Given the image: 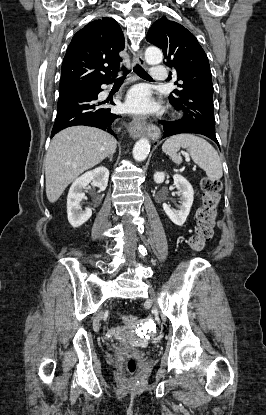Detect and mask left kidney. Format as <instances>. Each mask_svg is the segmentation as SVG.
<instances>
[{
	"mask_svg": "<svg viewBox=\"0 0 266 415\" xmlns=\"http://www.w3.org/2000/svg\"><path fill=\"white\" fill-rule=\"evenodd\" d=\"M164 179L165 173L156 172L154 174V181L157 184L162 183ZM173 179L174 185L178 189L179 194L181 195V205L179 207L180 210L173 211L171 210L170 206H168L166 203L163 204V209L174 224L182 226L190 213V209L192 207L194 200V190L191 184L183 176L175 174L173 176Z\"/></svg>",
	"mask_w": 266,
	"mask_h": 415,
	"instance_id": "left-kidney-1",
	"label": "left kidney"
}]
</instances>
